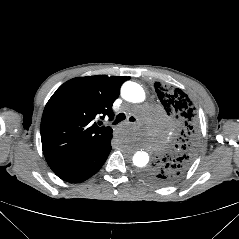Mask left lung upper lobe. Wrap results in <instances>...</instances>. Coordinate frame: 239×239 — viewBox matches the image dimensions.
Returning <instances> with one entry per match:
<instances>
[{"instance_id": "left-lung-upper-lobe-1", "label": "left lung upper lobe", "mask_w": 239, "mask_h": 239, "mask_svg": "<svg viewBox=\"0 0 239 239\" xmlns=\"http://www.w3.org/2000/svg\"><path fill=\"white\" fill-rule=\"evenodd\" d=\"M154 86L179 134L172 152L143 171L142 175L153 184L166 186L181 179L194 160L199 145L198 117L192 101L181 89H173L159 82Z\"/></svg>"}]
</instances>
